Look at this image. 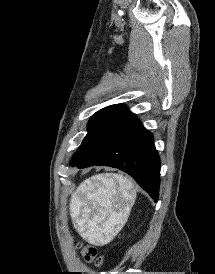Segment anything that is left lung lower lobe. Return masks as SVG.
<instances>
[{"label":"left lung lower lobe","instance_id":"left-lung-lower-lobe-1","mask_svg":"<svg viewBox=\"0 0 215 274\" xmlns=\"http://www.w3.org/2000/svg\"><path fill=\"white\" fill-rule=\"evenodd\" d=\"M71 166L94 165L118 168L131 175L157 202L160 186V158L152 134L136 116L115 129L91 153Z\"/></svg>","mask_w":215,"mask_h":274}]
</instances>
